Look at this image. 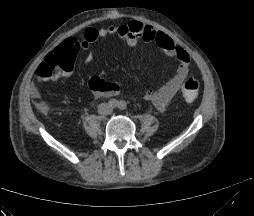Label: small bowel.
Masks as SVG:
<instances>
[{"mask_svg":"<svg viewBox=\"0 0 254 216\" xmlns=\"http://www.w3.org/2000/svg\"><path fill=\"white\" fill-rule=\"evenodd\" d=\"M106 37L121 38L129 47H135L140 40L153 42L157 44L168 57L178 62L176 73L169 81L159 89L150 90L145 94L146 99L151 101L156 109L159 111L167 110L188 78L190 57L180 45L165 33L138 21H131L128 24L120 26L111 25L105 28L89 27L84 33V40L82 42H79L73 37H69L54 51H75L77 45L80 46V49H86L89 43ZM90 60L91 55L88 54L86 61L89 62ZM70 70L71 69L66 70L65 76H70ZM38 80L42 81L44 79L38 77ZM89 86L96 97L117 95L122 91L118 84L104 81L98 77H92Z\"/></svg>","mask_w":254,"mask_h":216,"instance_id":"c3829d8e","label":"small bowel"}]
</instances>
